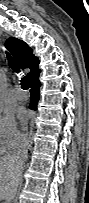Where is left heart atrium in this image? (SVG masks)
Returning <instances> with one entry per match:
<instances>
[{"mask_svg":"<svg viewBox=\"0 0 89 203\" xmlns=\"http://www.w3.org/2000/svg\"><path fill=\"white\" fill-rule=\"evenodd\" d=\"M18 117L21 120V122L23 124H25L29 120V118H30V113L27 110H25V109H21L18 112Z\"/></svg>","mask_w":89,"mask_h":203,"instance_id":"39dd6f15","label":"left heart atrium"}]
</instances>
